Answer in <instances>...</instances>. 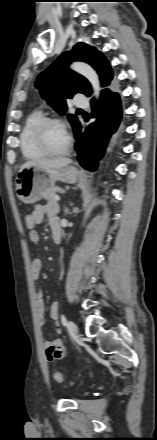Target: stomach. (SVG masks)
<instances>
[{
  "mask_svg": "<svg viewBox=\"0 0 157 440\" xmlns=\"http://www.w3.org/2000/svg\"><path fill=\"white\" fill-rule=\"evenodd\" d=\"M79 172L73 166L45 170L32 166L20 170L16 176V194L25 204H33L45 198L54 188L56 181L75 183Z\"/></svg>",
  "mask_w": 157,
  "mask_h": 440,
  "instance_id": "0dacf381",
  "label": "stomach"
}]
</instances>
